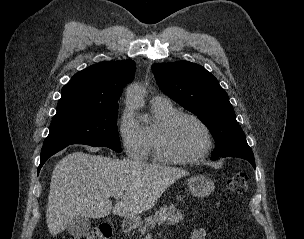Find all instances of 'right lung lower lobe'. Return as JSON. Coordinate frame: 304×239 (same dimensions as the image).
Here are the masks:
<instances>
[{"label": "right lung lower lobe", "instance_id": "obj_1", "mask_svg": "<svg viewBox=\"0 0 304 239\" xmlns=\"http://www.w3.org/2000/svg\"><path fill=\"white\" fill-rule=\"evenodd\" d=\"M66 146H60V147H50V148H43L41 151V161L38 168V171L41 169L45 161L52 156L53 154L57 153L58 151L64 149Z\"/></svg>", "mask_w": 304, "mask_h": 239}]
</instances>
